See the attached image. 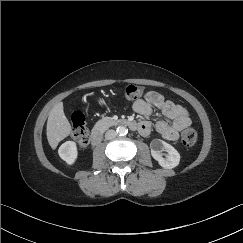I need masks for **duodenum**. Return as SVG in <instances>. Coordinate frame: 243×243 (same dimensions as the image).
I'll list each match as a JSON object with an SVG mask.
<instances>
[{"mask_svg":"<svg viewBox=\"0 0 243 243\" xmlns=\"http://www.w3.org/2000/svg\"><path fill=\"white\" fill-rule=\"evenodd\" d=\"M119 125L129 127L130 129L136 131L139 129V123L132 120H120ZM102 139V132L99 129H93L90 135V140L93 145H97Z\"/></svg>","mask_w":243,"mask_h":243,"instance_id":"1","label":"duodenum"}]
</instances>
